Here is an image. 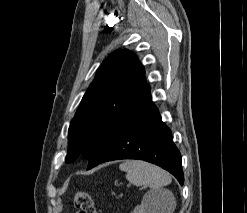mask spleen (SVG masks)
<instances>
[{
  "mask_svg": "<svg viewBox=\"0 0 247 213\" xmlns=\"http://www.w3.org/2000/svg\"><path fill=\"white\" fill-rule=\"evenodd\" d=\"M120 170L126 172V179L136 186L162 188L171 183V176L158 166L140 160H128L119 165ZM175 202L169 213H172Z\"/></svg>",
  "mask_w": 247,
  "mask_h": 213,
  "instance_id": "obj_1",
  "label": "spleen"
}]
</instances>
